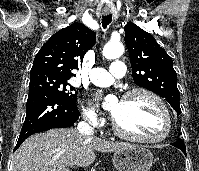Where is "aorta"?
Here are the masks:
<instances>
[{"mask_svg":"<svg viewBox=\"0 0 199 171\" xmlns=\"http://www.w3.org/2000/svg\"><path fill=\"white\" fill-rule=\"evenodd\" d=\"M123 52H124V46L121 43L109 42L105 45L103 49V56L107 59H116L120 57L123 54ZM112 100H113L112 96H107L105 98L103 106L108 107Z\"/></svg>","mask_w":199,"mask_h":171,"instance_id":"1","label":"aorta"}]
</instances>
